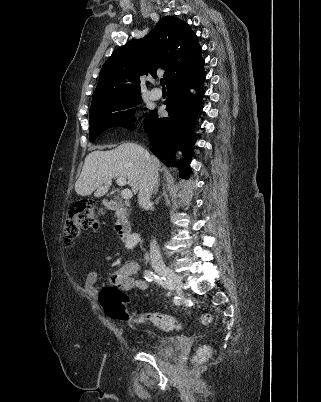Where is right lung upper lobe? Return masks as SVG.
I'll use <instances>...</instances> for the list:
<instances>
[{
    "label": "right lung upper lobe",
    "mask_w": 321,
    "mask_h": 402,
    "mask_svg": "<svg viewBox=\"0 0 321 402\" xmlns=\"http://www.w3.org/2000/svg\"><path fill=\"white\" fill-rule=\"evenodd\" d=\"M204 64L196 34L184 21L163 17L144 38L117 49L103 65L91 107L140 94V78L164 69L166 85Z\"/></svg>",
    "instance_id": "right-lung-upper-lobe-1"
}]
</instances>
